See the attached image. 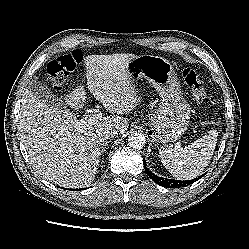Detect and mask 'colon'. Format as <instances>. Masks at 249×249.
I'll return each mask as SVG.
<instances>
[{
  "label": "colon",
  "instance_id": "1",
  "mask_svg": "<svg viewBox=\"0 0 249 249\" xmlns=\"http://www.w3.org/2000/svg\"><path fill=\"white\" fill-rule=\"evenodd\" d=\"M82 58V53L79 50H74L58 56L48 64L47 73L54 89H62L66 79L82 61ZM182 77L190 88L196 103H203L207 98L203 74L191 67H184L182 69Z\"/></svg>",
  "mask_w": 249,
  "mask_h": 249
}]
</instances>
